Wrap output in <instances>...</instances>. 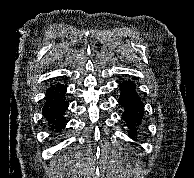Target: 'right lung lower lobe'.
I'll return each mask as SVG.
<instances>
[{
    "instance_id": "right-lung-lower-lobe-1",
    "label": "right lung lower lobe",
    "mask_w": 194,
    "mask_h": 178,
    "mask_svg": "<svg viewBox=\"0 0 194 178\" xmlns=\"http://www.w3.org/2000/svg\"><path fill=\"white\" fill-rule=\"evenodd\" d=\"M66 87L62 84L52 85L46 91V102L42 109V114L47 119L51 130L60 132L65 128L67 120L65 119V111L68 102L65 99Z\"/></svg>"
}]
</instances>
